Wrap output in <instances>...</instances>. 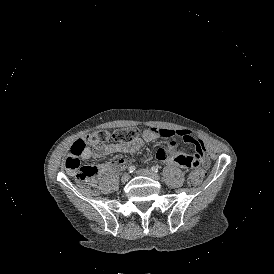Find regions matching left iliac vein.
Masks as SVG:
<instances>
[{
	"label": "left iliac vein",
	"instance_id": "1",
	"mask_svg": "<svg viewBox=\"0 0 274 274\" xmlns=\"http://www.w3.org/2000/svg\"><path fill=\"white\" fill-rule=\"evenodd\" d=\"M137 174L142 175V176H146V177H150V178H153L155 180L160 179V176L157 173L152 172L151 170H148V169H140V170L137 171Z\"/></svg>",
	"mask_w": 274,
	"mask_h": 274
}]
</instances>
